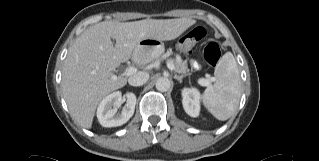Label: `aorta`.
<instances>
[{"label":"aorta","mask_w":319,"mask_h":161,"mask_svg":"<svg viewBox=\"0 0 319 161\" xmlns=\"http://www.w3.org/2000/svg\"><path fill=\"white\" fill-rule=\"evenodd\" d=\"M171 82L167 77H160L156 81V89L160 92H166L170 89Z\"/></svg>","instance_id":"762f6f07"}]
</instances>
